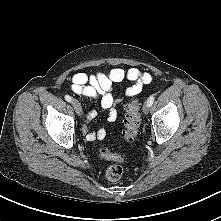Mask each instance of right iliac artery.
Listing matches in <instances>:
<instances>
[{"label": "right iliac artery", "instance_id": "1", "mask_svg": "<svg viewBox=\"0 0 221 221\" xmlns=\"http://www.w3.org/2000/svg\"><path fill=\"white\" fill-rule=\"evenodd\" d=\"M65 100L68 101V102H71L72 98L69 95H66Z\"/></svg>", "mask_w": 221, "mask_h": 221}]
</instances>
